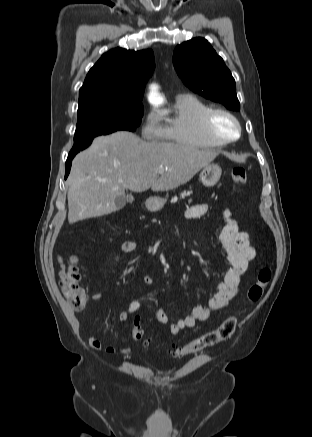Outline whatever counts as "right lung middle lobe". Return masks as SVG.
I'll return each instance as SVG.
<instances>
[{
    "mask_svg": "<svg viewBox=\"0 0 312 437\" xmlns=\"http://www.w3.org/2000/svg\"><path fill=\"white\" fill-rule=\"evenodd\" d=\"M143 115V105L118 107L93 105L78 108L74 145L69 155L87 148L99 135L116 131H135Z\"/></svg>",
    "mask_w": 312,
    "mask_h": 437,
    "instance_id": "obj_1",
    "label": "right lung middle lobe"
}]
</instances>
